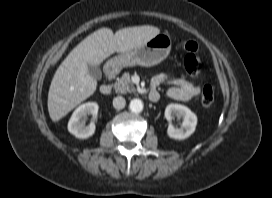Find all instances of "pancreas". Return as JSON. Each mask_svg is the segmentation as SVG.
<instances>
[{
    "label": "pancreas",
    "mask_w": 272,
    "mask_h": 198,
    "mask_svg": "<svg viewBox=\"0 0 272 198\" xmlns=\"http://www.w3.org/2000/svg\"><path fill=\"white\" fill-rule=\"evenodd\" d=\"M115 91L117 93L126 94V93H134L136 91L129 72H125L121 78L117 80L114 84Z\"/></svg>",
    "instance_id": "pancreas-1"
}]
</instances>
